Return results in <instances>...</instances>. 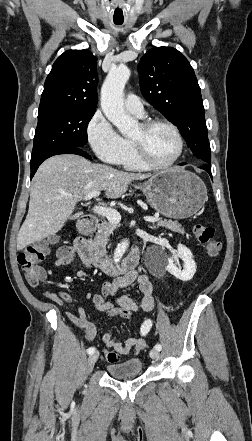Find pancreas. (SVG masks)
<instances>
[{
	"label": "pancreas",
	"instance_id": "obj_1",
	"mask_svg": "<svg viewBox=\"0 0 252 441\" xmlns=\"http://www.w3.org/2000/svg\"><path fill=\"white\" fill-rule=\"evenodd\" d=\"M157 227H165L171 231L178 232L183 234L184 229L182 228L181 224H179L177 221H159L157 223ZM116 229V226L110 222H102L100 225L95 237H94V246L99 251L101 256H105L106 251V245L109 241V237L113 234L114 230Z\"/></svg>",
	"mask_w": 252,
	"mask_h": 441
}]
</instances>
